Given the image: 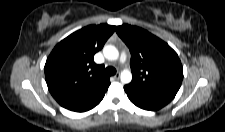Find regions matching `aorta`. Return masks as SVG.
Returning a JSON list of instances; mask_svg holds the SVG:
<instances>
[{"mask_svg": "<svg viewBox=\"0 0 225 132\" xmlns=\"http://www.w3.org/2000/svg\"><path fill=\"white\" fill-rule=\"evenodd\" d=\"M104 57L108 60H117L119 57L118 49L113 45H106L103 48ZM121 82L124 84H128L132 80V74L129 70L125 69L120 74Z\"/></svg>", "mask_w": 225, "mask_h": 132, "instance_id": "762f6f07", "label": "aorta"}]
</instances>
